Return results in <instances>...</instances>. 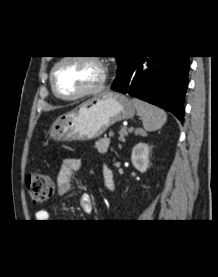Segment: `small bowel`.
I'll list each match as a JSON object with an SVG mask.
<instances>
[{
    "label": "small bowel",
    "instance_id": "c3829d8e",
    "mask_svg": "<svg viewBox=\"0 0 218 277\" xmlns=\"http://www.w3.org/2000/svg\"><path fill=\"white\" fill-rule=\"evenodd\" d=\"M82 162L79 158L68 157L62 161L60 170L57 175V188L56 195L57 197L65 196L70 188L73 174L81 168ZM108 174L112 176L111 172L108 171ZM104 182L107 186L111 188L112 183L105 181V174L103 173ZM81 207L84 211L88 212L92 210V198L89 194L85 193L81 196L80 200ZM37 222H45L49 218V212L46 209H39L35 213Z\"/></svg>",
    "mask_w": 218,
    "mask_h": 277
}]
</instances>
